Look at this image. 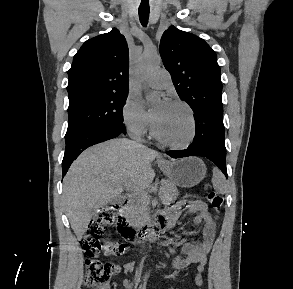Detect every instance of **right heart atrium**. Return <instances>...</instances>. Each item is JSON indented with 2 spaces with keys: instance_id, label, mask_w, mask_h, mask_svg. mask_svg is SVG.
Instances as JSON below:
<instances>
[{
  "instance_id": "obj_1",
  "label": "right heart atrium",
  "mask_w": 293,
  "mask_h": 289,
  "mask_svg": "<svg viewBox=\"0 0 293 289\" xmlns=\"http://www.w3.org/2000/svg\"><path fill=\"white\" fill-rule=\"evenodd\" d=\"M123 122L133 136H142L151 126V120L141 102L129 96L122 110Z\"/></svg>"
}]
</instances>
